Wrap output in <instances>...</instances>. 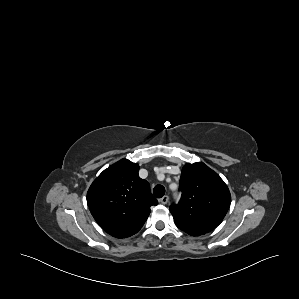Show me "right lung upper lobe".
I'll use <instances>...</instances> for the list:
<instances>
[{
    "label": "right lung upper lobe",
    "instance_id": "cb5924a9",
    "mask_svg": "<svg viewBox=\"0 0 299 299\" xmlns=\"http://www.w3.org/2000/svg\"><path fill=\"white\" fill-rule=\"evenodd\" d=\"M139 165L122 159L105 169L91 184L87 204L97 223L116 238L137 233L157 200L149 183L138 175Z\"/></svg>",
    "mask_w": 299,
    "mask_h": 299
}]
</instances>
